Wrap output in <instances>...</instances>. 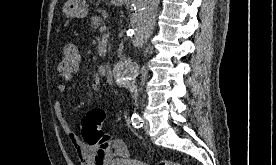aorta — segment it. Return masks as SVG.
<instances>
[{
	"label": "aorta",
	"mask_w": 276,
	"mask_h": 165,
	"mask_svg": "<svg viewBox=\"0 0 276 165\" xmlns=\"http://www.w3.org/2000/svg\"><path fill=\"white\" fill-rule=\"evenodd\" d=\"M160 0H131L133 10V41L136 46H142L152 35L156 14ZM137 72V66L129 61H123L116 65L114 73L117 78L131 80ZM132 86V91L136 92ZM136 97V94L134 95Z\"/></svg>",
	"instance_id": "762f6f07"
}]
</instances>
